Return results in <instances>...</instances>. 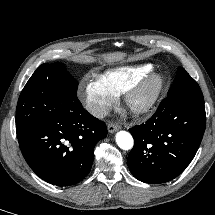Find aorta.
Wrapping results in <instances>:
<instances>
[{
	"label": "aorta",
	"mask_w": 215,
	"mask_h": 215,
	"mask_svg": "<svg viewBox=\"0 0 215 215\" xmlns=\"http://www.w3.org/2000/svg\"><path fill=\"white\" fill-rule=\"evenodd\" d=\"M116 143L123 150H129L133 147L134 141L130 133L119 131L116 134Z\"/></svg>",
	"instance_id": "1"
}]
</instances>
